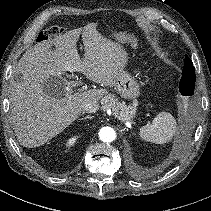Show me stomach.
Masks as SVG:
<instances>
[{
    "instance_id": "obj_1",
    "label": "stomach",
    "mask_w": 211,
    "mask_h": 211,
    "mask_svg": "<svg viewBox=\"0 0 211 211\" xmlns=\"http://www.w3.org/2000/svg\"><path fill=\"white\" fill-rule=\"evenodd\" d=\"M129 39L124 33L118 35V40L125 42ZM114 88L125 99H135L139 96L140 90L137 81L125 70L116 78Z\"/></svg>"
}]
</instances>
